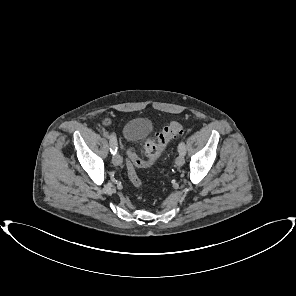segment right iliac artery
I'll list each match as a JSON object with an SVG mask.
<instances>
[{
	"label": "right iliac artery",
	"instance_id": "right-iliac-artery-1",
	"mask_svg": "<svg viewBox=\"0 0 296 296\" xmlns=\"http://www.w3.org/2000/svg\"><path fill=\"white\" fill-rule=\"evenodd\" d=\"M105 136L110 138V151L111 153L114 155L117 152V140L116 137L114 136V134H111L110 136L108 135V133H104Z\"/></svg>",
	"mask_w": 296,
	"mask_h": 296
}]
</instances>
